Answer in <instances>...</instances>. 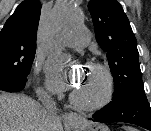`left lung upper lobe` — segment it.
I'll list each match as a JSON object with an SVG mask.
<instances>
[{"mask_svg":"<svg viewBox=\"0 0 151 131\" xmlns=\"http://www.w3.org/2000/svg\"><path fill=\"white\" fill-rule=\"evenodd\" d=\"M88 9L96 40L107 52L114 77L113 99L134 87H143L137 41L120 3L116 0H91Z\"/></svg>","mask_w":151,"mask_h":131,"instance_id":"5c2ea615","label":"left lung upper lobe"}]
</instances>
